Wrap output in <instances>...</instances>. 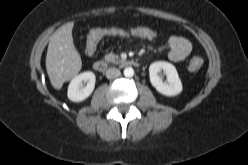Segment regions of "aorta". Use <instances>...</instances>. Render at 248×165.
I'll return each instance as SVG.
<instances>
[{
	"label": "aorta",
	"instance_id": "762f6f07",
	"mask_svg": "<svg viewBox=\"0 0 248 165\" xmlns=\"http://www.w3.org/2000/svg\"><path fill=\"white\" fill-rule=\"evenodd\" d=\"M133 75H134V70H133L132 67H126V68L124 69V76H125V77L131 78V77H133Z\"/></svg>",
	"mask_w": 248,
	"mask_h": 165
}]
</instances>
